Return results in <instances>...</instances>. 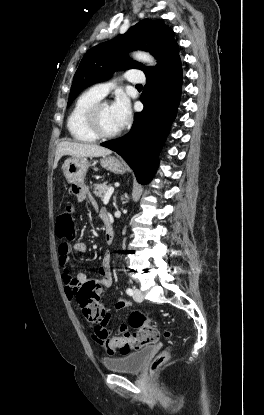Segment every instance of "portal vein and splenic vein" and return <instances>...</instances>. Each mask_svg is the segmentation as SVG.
<instances>
[{
  "label": "portal vein and splenic vein",
  "instance_id": "portal-vein-and-splenic-vein-1",
  "mask_svg": "<svg viewBox=\"0 0 264 415\" xmlns=\"http://www.w3.org/2000/svg\"><path fill=\"white\" fill-rule=\"evenodd\" d=\"M113 192H114V187H109V189L107 190V192H106V194H105V196L103 198V203L105 205L108 204V202L110 200V197L113 194Z\"/></svg>",
  "mask_w": 264,
  "mask_h": 415
}]
</instances>
